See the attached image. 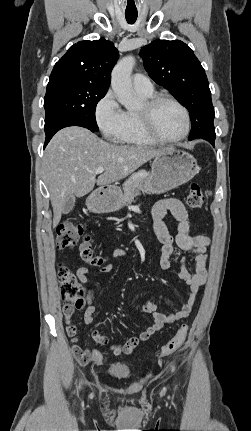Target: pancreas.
I'll use <instances>...</instances> for the list:
<instances>
[{
  "label": "pancreas",
  "instance_id": "pancreas-1",
  "mask_svg": "<svg viewBox=\"0 0 251 431\" xmlns=\"http://www.w3.org/2000/svg\"><path fill=\"white\" fill-rule=\"evenodd\" d=\"M147 176L148 174L143 171L132 175L124 182L122 186L124 193L121 195L122 206L132 202L133 198L144 190Z\"/></svg>",
  "mask_w": 251,
  "mask_h": 431
}]
</instances>
